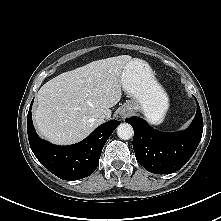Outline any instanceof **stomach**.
Returning a JSON list of instances; mask_svg holds the SVG:
<instances>
[{"mask_svg":"<svg viewBox=\"0 0 221 221\" xmlns=\"http://www.w3.org/2000/svg\"><path fill=\"white\" fill-rule=\"evenodd\" d=\"M122 88L128 95L124 107L141 111L152 124H159L169 108V98L156 81L152 69L143 60L131 59L122 71Z\"/></svg>","mask_w":221,"mask_h":221,"instance_id":"0dacf381","label":"stomach"}]
</instances>
